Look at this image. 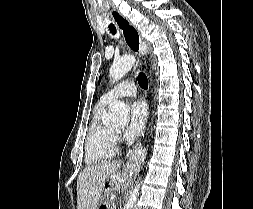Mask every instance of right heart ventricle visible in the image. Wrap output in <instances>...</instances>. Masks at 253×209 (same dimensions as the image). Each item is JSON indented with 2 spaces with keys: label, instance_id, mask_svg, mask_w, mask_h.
<instances>
[{
  "label": "right heart ventricle",
  "instance_id": "1",
  "mask_svg": "<svg viewBox=\"0 0 253 209\" xmlns=\"http://www.w3.org/2000/svg\"><path fill=\"white\" fill-rule=\"evenodd\" d=\"M106 104L101 100L98 102L87 132L85 160L89 165L114 157L118 150L114 131L102 121Z\"/></svg>",
  "mask_w": 253,
  "mask_h": 209
}]
</instances>
